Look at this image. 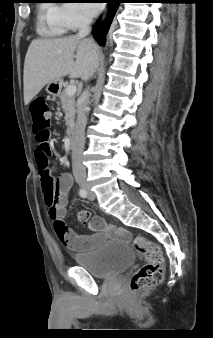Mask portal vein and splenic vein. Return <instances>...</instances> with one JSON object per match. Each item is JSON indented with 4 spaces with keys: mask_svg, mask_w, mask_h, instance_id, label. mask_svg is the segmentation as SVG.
Returning a JSON list of instances; mask_svg holds the SVG:
<instances>
[{
    "mask_svg": "<svg viewBox=\"0 0 213 338\" xmlns=\"http://www.w3.org/2000/svg\"><path fill=\"white\" fill-rule=\"evenodd\" d=\"M76 91H77L76 85H69L66 88V94L69 96L75 95Z\"/></svg>",
    "mask_w": 213,
    "mask_h": 338,
    "instance_id": "18ae733b",
    "label": "portal vein and splenic vein"
}]
</instances>
